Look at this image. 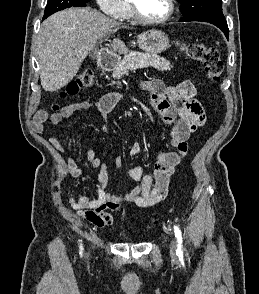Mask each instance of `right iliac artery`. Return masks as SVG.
<instances>
[{
  "instance_id": "1",
  "label": "right iliac artery",
  "mask_w": 259,
  "mask_h": 294,
  "mask_svg": "<svg viewBox=\"0 0 259 294\" xmlns=\"http://www.w3.org/2000/svg\"><path fill=\"white\" fill-rule=\"evenodd\" d=\"M82 251H83V247H82V245H81V247H80V254L82 255Z\"/></svg>"
}]
</instances>
